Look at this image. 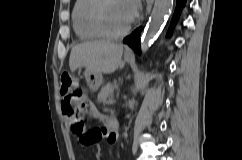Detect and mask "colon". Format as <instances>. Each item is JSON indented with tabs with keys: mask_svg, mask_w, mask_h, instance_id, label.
I'll return each mask as SVG.
<instances>
[{
	"mask_svg": "<svg viewBox=\"0 0 242 160\" xmlns=\"http://www.w3.org/2000/svg\"><path fill=\"white\" fill-rule=\"evenodd\" d=\"M60 85L61 94L66 102L63 105L64 116L68 118H75L77 120L75 131L80 134V141L86 145L92 144L99 132L93 130L85 131L84 126L80 121L81 113L87 109L84 89L78 85L76 80L69 72L61 73Z\"/></svg>",
	"mask_w": 242,
	"mask_h": 160,
	"instance_id": "1",
	"label": "colon"
}]
</instances>
